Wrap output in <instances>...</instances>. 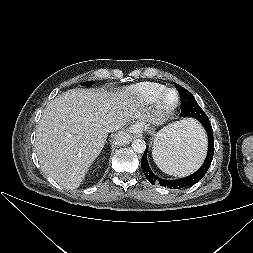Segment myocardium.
Returning <instances> with one entry per match:
<instances>
[{
  "instance_id": "myocardium-1",
  "label": "myocardium",
  "mask_w": 253,
  "mask_h": 253,
  "mask_svg": "<svg viewBox=\"0 0 253 253\" xmlns=\"http://www.w3.org/2000/svg\"><path fill=\"white\" fill-rule=\"evenodd\" d=\"M174 92L176 95L175 101L171 104L166 102V96L168 93ZM156 102V112L160 118H164L165 116L171 114L179 105L180 96L176 89L174 88H166L157 98Z\"/></svg>"
}]
</instances>
